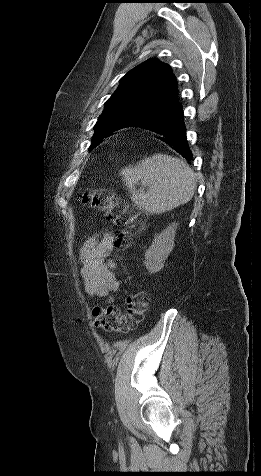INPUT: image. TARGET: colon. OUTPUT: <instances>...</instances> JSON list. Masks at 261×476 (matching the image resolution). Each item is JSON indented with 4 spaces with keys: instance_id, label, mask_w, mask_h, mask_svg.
Masks as SVG:
<instances>
[{
    "instance_id": "colon-1",
    "label": "colon",
    "mask_w": 261,
    "mask_h": 476,
    "mask_svg": "<svg viewBox=\"0 0 261 476\" xmlns=\"http://www.w3.org/2000/svg\"><path fill=\"white\" fill-rule=\"evenodd\" d=\"M81 201L88 207L101 212L108 220L121 227L114 246L127 249L134 237L145 225V219L133 211L119 197L107 189H97L82 195ZM148 296L144 292L132 293L126 297V312L121 313L115 306L94 307L92 310L93 325L108 333L127 332L140 323L147 311Z\"/></svg>"
}]
</instances>
